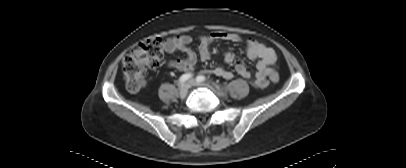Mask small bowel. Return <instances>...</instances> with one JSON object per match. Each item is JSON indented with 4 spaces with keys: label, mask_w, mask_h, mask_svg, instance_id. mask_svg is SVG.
<instances>
[{
    "label": "small bowel",
    "mask_w": 406,
    "mask_h": 168,
    "mask_svg": "<svg viewBox=\"0 0 406 168\" xmlns=\"http://www.w3.org/2000/svg\"><path fill=\"white\" fill-rule=\"evenodd\" d=\"M192 41L193 39L189 35L175 36L166 39L164 48L167 53L182 52L186 56L184 59L170 61L168 63L170 67L183 72L194 69L197 62V54L190 47ZM199 41V55L201 59L207 60L210 58V45L212 42L227 41L231 43H240L242 39L238 34L218 31L208 35L199 36ZM246 53L250 60H257L255 77L251 80V83L257 89L266 88L268 86L267 78L270 70L276 65L277 61L275 51L259 40L249 39L246 42ZM223 58L224 62L227 64H231L235 61V56L231 52L224 53ZM235 70L243 78L251 79V73L244 63L237 62L235 64ZM211 73L227 80L233 77V73L223 67H216Z\"/></svg>",
    "instance_id": "obj_1"
}]
</instances>
